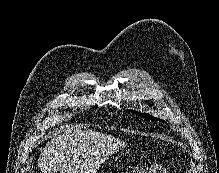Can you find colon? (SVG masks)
Masks as SVG:
<instances>
[{"label":"colon","instance_id":"colon-1","mask_svg":"<svg viewBox=\"0 0 219 173\" xmlns=\"http://www.w3.org/2000/svg\"><path fill=\"white\" fill-rule=\"evenodd\" d=\"M123 173H168L164 168L156 163L135 166L127 169Z\"/></svg>","mask_w":219,"mask_h":173}]
</instances>
